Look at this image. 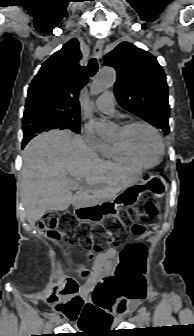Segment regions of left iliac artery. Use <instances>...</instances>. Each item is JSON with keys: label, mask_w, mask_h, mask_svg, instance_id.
<instances>
[{"label": "left iliac artery", "mask_w": 194, "mask_h": 336, "mask_svg": "<svg viewBox=\"0 0 194 336\" xmlns=\"http://www.w3.org/2000/svg\"><path fill=\"white\" fill-rule=\"evenodd\" d=\"M140 313L142 314L145 323L148 324L149 323V314L146 312V309L144 307H142L140 309Z\"/></svg>", "instance_id": "obj_1"}]
</instances>
